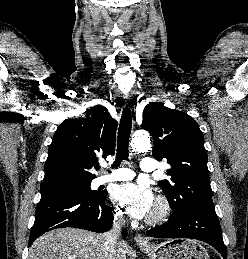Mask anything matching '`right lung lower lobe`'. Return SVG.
I'll use <instances>...</instances> for the list:
<instances>
[{
    "instance_id": "right-lung-lower-lobe-1",
    "label": "right lung lower lobe",
    "mask_w": 248,
    "mask_h": 259,
    "mask_svg": "<svg viewBox=\"0 0 248 259\" xmlns=\"http://www.w3.org/2000/svg\"><path fill=\"white\" fill-rule=\"evenodd\" d=\"M107 193L95 196L72 193L41 195L37 205L29 246L42 234L56 228L75 227L93 232H105L112 227V209L106 205ZM123 235L127 231L123 230Z\"/></svg>"
}]
</instances>
